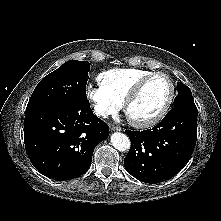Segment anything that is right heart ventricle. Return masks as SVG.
I'll use <instances>...</instances> for the list:
<instances>
[{
	"label": "right heart ventricle",
	"instance_id": "right-heart-ventricle-1",
	"mask_svg": "<svg viewBox=\"0 0 221 221\" xmlns=\"http://www.w3.org/2000/svg\"><path fill=\"white\" fill-rule=\"evenodd\" d=\"M152 71L142 68H114L100 73L99 85L121 104L134 85Z\"/></svg>",
	"mask_w": 221,
	"mask_h": 221
}]
</instances>
